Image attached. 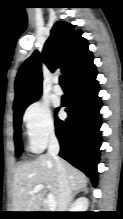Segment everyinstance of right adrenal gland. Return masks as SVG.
Wrapping results in <instances>:
<instances>
[{
	"label": "right adrenal gland",
	"mask_w": 123,
	"mask_h": 219,
	"mask_svg": "<svg viewBox=\"0 0 123 219\" xmlns=\"http://www.w3.org/2000/svg\"><path fill=\"white\" fill-rule=\"evenodd\" d=\"M87 191H88L87 187H83L82 189H79V190L75 191V192L72 194V196H71L70 205H71V203H72V201H73V199H74V197H75L76 194H78L79 192H84V194H86Z\"/></svg>",
	"instance_id": "1"
}]
</instances>
